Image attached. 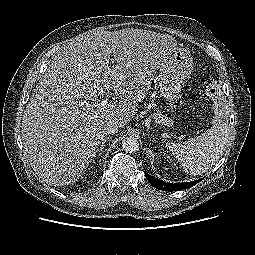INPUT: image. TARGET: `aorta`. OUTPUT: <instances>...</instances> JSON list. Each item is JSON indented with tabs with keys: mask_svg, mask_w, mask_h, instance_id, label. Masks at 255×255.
Returning a JSON list of instances; mask_svg holds the SVG:
<instances>
[{
	"mask_svg": "<svg viewBox=\"0 0 255 255\" xmlns=\"http://www.w3.org/2000/svg\"><path fill=\"white\" fill-rule=\"evenodd\" d=\"M122 148L127 153H134L139 149V142L135 137H125L122 141Z\"/></svg>",
	"mask_w": 255,
	"mask_h": 255,
	"instance_id": "aorta-1",
	"label": "aorta"
}]
</instances>
